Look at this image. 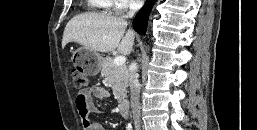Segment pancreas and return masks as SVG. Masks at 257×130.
Masks as SVG:
<instances>
[{
	"label": "pancreas",
	"mask_w": 257,
	"mask_h": 130,
	"mask_svg": "<svg viewBox=\"0 0 257 130\" xmlns=\"http://www.w3.org/2000/svg\"><path fill=\"white\" fill-rule=\"evenodd\" d=\"M113 61L111 57L103 60L101 75L112 88L115 98L121 101L126 97L129 74L125 64L118 66Z\"/></svg>",
	"instance_id": "cf45deb5"
}]
</instances>
